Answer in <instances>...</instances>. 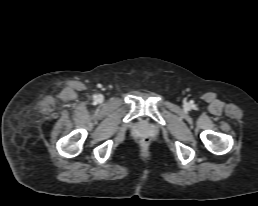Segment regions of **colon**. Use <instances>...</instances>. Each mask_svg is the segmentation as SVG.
I'll return each instance as SVG.
<instances>
[{"mask_svg": "<svg viewBox=\"0 0 258 206\" xmlns=\"http://www.w3.org/2000/svg\"><path fill=\"white\" fill-rule=\"evenodd\" d=\"M141 145L143 148H147L149 145V140L147 138L142 139Z\"/></svg>", "mask_w": 258, "mask_h": 206, "instance_id": "colon-1", "label": "colon"}]
</instances>
